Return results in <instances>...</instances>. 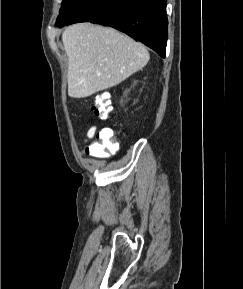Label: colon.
Listing matches in <instances>:
<instances>
[{
    "label": "colon",
    "mask_w": 243,
    "mask_h": 289,
    "mask_svg": "<svg viewBox=\"0 0 243 289\" xmlns=\"http://www.w3.org/2000/svg\"><path fill=\"white\" fill-rule=\"evenodd\" d=\"M92 109L96 116L106 119L112 110L108 94H97ZM117 148L118 143L114 131L111 128H104L96 135V139L87 146L86 153L96 157H107Z\"/></svg>",
    "instance_id": "1"
}]
</instances>
